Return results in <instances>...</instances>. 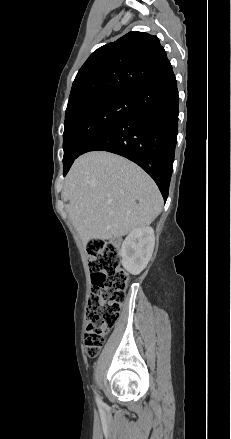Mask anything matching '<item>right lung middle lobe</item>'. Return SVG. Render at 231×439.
Segmentation results:
<instances>
[{
    "label": "right lung middle lobe",
    "instance_id": "1",
    "mask_svg": "<svg viewBox=\"0 0 231 439\" xmlns=\"http://www.w3.org/2000/svg\"><path fill=\"white\" fill-rule=\"evenodd\" d=\"M136 109L134 93H111L93 97L66 110L64 168L73 163L81 147L95 133Z\"/></svg>",
    "mask_w": 231,
    "mask_h": 439
}]
</instances>
